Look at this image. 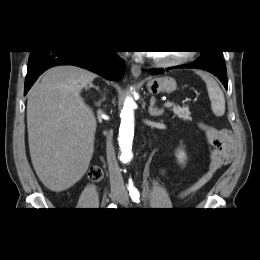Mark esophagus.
I'll list each match as a JSON object with an SVG mask.
<instances>
[{"instance_id":"34e87169","label":"esophagus","mask_w":260,"mask_h":260,"mask_svg":"<svg viewBox=\"0 0 260 260\" xmlns=\"http://www.w3.org/2000/svg\"><path fill=\"white\" fill-rule=\"evenodd\" d=\"M131 73L135 78H138L141 75V67L137 64H132Z\"/></svg>"}]
</instances>
